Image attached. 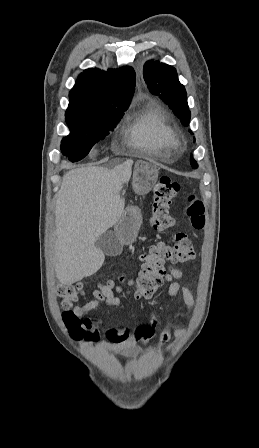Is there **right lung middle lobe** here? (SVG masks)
I'll return each instance as SVG.
<instances>
[{
  "label": "right lung middle lobe",
  "mask_w": 259,
  "mask_h": 448,
  "mask_svg": "<svg viewBox=\"0 0 259 448\" xmlns=\"http://www.w3.org/2000/svg\"><path fill=\"white\" fill-rule=\"evenodd\" d=\"M126 109L65 115L70 134L61 141L63 155L71 162L83 159L96 142L116 127Z\"/></svg>",
  "instance_id": "right-lung-middle-lobe-1"
}]
</instances>
